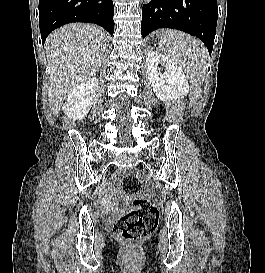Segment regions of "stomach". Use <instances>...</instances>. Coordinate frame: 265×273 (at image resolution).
<instances>
[{
  "instance_id": "obj_1",
  "label": "stomach",
  "mask_w": 265,
  "mask_h": 273,
  "mask_svg": "<svg viewBox=\"0 0 265 273\" xmlns=\"http://www.w3.org/2000/svg\"><path fill=\"white\" fill-rule=\"evenodd\" d=\"M163 35H151V40H143V45H148V49H169L172 45L173 36L170 30H163Z\"/></svg>"
}]
</instances>
